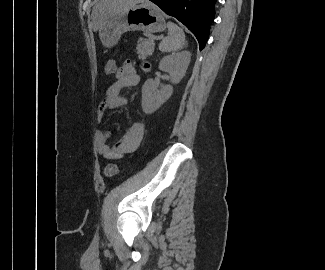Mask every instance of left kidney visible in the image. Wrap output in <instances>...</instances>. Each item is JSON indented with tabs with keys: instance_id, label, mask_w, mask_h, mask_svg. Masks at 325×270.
Here are the masks:
<instances>
[{
	"instance_id": "1",
	"label": "left kidney",
	"mask_w": 325,
	"mask_h": 270,
	"mask_svg": "<svg viewBox=\"0 0 325 270\" xmlns=\"http://www.w3.org/2000/svg\"><path fill=\"white\" fill-rule=\"evenodd\" d=\"M191 53L181 51L165 56L159 63V69L168 72L173 84H178L184 77L189 66ZM173 93L171 85L157 88L153 79H148L142 87V109L146 114H152L163 103H165Z\"/></svg>"
}]
</instances>
